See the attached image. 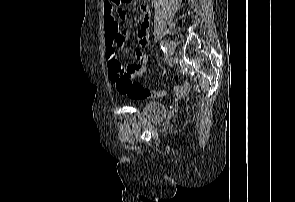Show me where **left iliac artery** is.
<instances>
[{
  "label": "left iliac artery",
  "instance_id": "left-iliac-artery-1",
  "mask_svg": "<svg viewBox=\"0 0 295 202\" xmlns=\"http://www.w3.org/2000/svg\"><path fill=\"white\" fill-rule=\"evenodd\" d=\"M161 49L163 50V51H166V42L165 41H161Z\"/></svg>",
  "mask_w": 295,
  "mask_h": 202
}]
</instances>
